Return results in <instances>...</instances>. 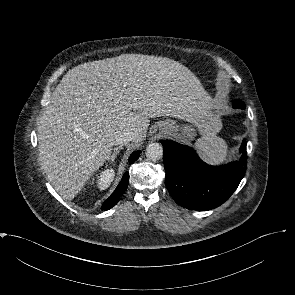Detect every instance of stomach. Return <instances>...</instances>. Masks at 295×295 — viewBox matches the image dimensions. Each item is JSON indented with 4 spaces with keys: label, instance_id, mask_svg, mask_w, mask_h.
<instances>
[{
    "label": "stomach",
    "instance_id": "1",
    "mask_svg": "<svg viewBox=\"0 0 295 295\" xmlns=\"http://www.w3.org/2000/svg\"><path fill=\"white\" fill-rule=\"evenodd\" d=\"M207 125H212L218 130L221 126L219 115L216 113L214 102L210 97L204 111L187 120V123L178 125L175 121L166 120L159 123V128L183 141H190L195 137L196 131H201Z\"/></svg>",
    "mask_w": 295,
    "mask_h": 295
}]
</instances>
